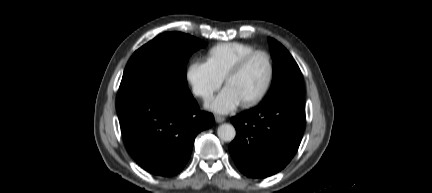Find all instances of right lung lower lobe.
Returning a JSON list of instances; mask_svg holds the SVG:
<instances>
[{
  "label": "right lung lower lobe",
  "instance_id": "obj_1",
  "mask_svg": "<svg viewBox=\"0 0 432 193\" xmlns=\"http://www.w3.org/2000/svg\"><path fill=\"white\" fill-rule=\"evenodd\" d=\"M118 117L125 145L135 161L159 176H174L186 165L196 135L213 125L190 94L140 88L119 96Z\"/></svg>",
  "mask_w": 432,
  "mask_h": 193
}]
</instances>
